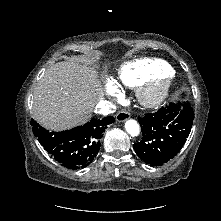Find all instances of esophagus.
<instances>
[{"label": "esophagus", "instance_id": "obj_1", "mask_svg": "<svg viewBox=\"0 0 221 221\" xmlns=\"http://www.w3.org/2000/svg\"><path fill=\"white\" fill-rule=\"evenodd\" d=\"M130 118V114H129V112H127L126 110H121V111H119L118 113H117V115H116V120L118 121V122H124V121H126L127 119H129Z\"/></svg>", "mask_w": 221, "mask_h": 221}]
</instances>
